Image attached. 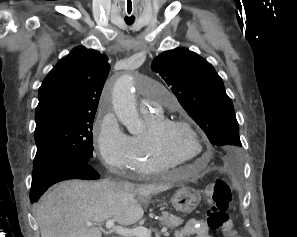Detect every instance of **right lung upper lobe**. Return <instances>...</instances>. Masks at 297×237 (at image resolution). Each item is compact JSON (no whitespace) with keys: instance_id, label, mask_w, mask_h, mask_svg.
Wrapping results in <instances>:
<instances>
[{"instance_id":"1","label":"right lung upper lobe","mask_w":297,"mask_h":237,"mask_svg":"<svg viewBox=\"0 0 297 237\" xmlns=\"http://www.w3.org/2000/svg\"><path fill=\"white\" fill-rule=\"evenodd\" d=\"M109 68L106 55L83 46L74 48L39 88L36 123L53 116L95 115Z\"/></svg>"}]
</instances>
